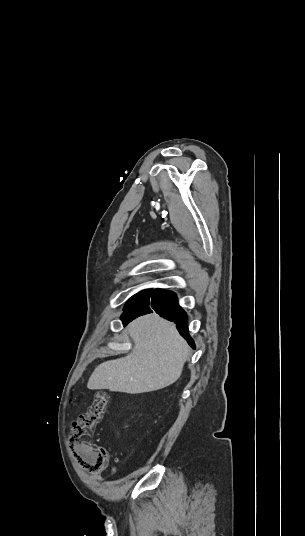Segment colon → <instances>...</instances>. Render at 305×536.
Here are the masks:
<instances>
[{
    "mask_svg": "<svg viewBox=\"0 0 305 536\" xmlns=\"http://www.w3.org/2000/svg\"><path fill=\"white\" fill-rule=\"evenodd\" d=\"M108 404V395L99 392L95 395L88 411L81 414L73 423L71 435L66 436L65 443L74 445L71 459L75 469L97 473L106 471L109 453L105 446H95L89 438L93 436L96 427L101 423Z\"/></svg>",
    "mask_w": 305,
    "mask_h": 536,
    "instance_id": "obj_1",
    "label": "colon"
}]
</instances>
